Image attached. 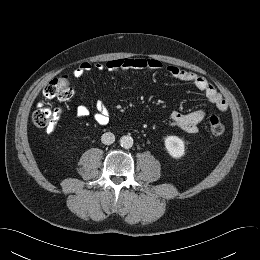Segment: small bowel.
<instances>
[{
  "label": "small bowel",
  "mask_w": 260,
  "mask_h": 260,
  "mask_svg": "<svg viewBox=\"0 0 260 260\" xmlns=\"http://www.w3.org/2000/svg\"><path fill=\"white\" fill-rule=\"evenodd\" d=\"M91 68L92 66L89 62H82L74 69L73 75L75 78H81L85 73L90 71ZM95 68L99 71L104 69L109 71H158L164 69L163 64L159 60L145 57L112 59L107 61L105 64H96ZM165 70L175 79L191 83L198 90L202 91L206 95L207 99L213 103L219 111L224 112L227 110L228 105L226 100L204 77L177 66H168ZM88 115L89 109L86 105H79L77 107V118L82 119ZM204 118L205 111L203 109H195L188 113L173 112L170 116L171 123L174 126L191 134L198 131V125ZM94 119L97 124L101 126H104L109 122V111L104 103H97V111L94 115Z\"/></svg>",
  "instance_id": "c3829d8e"
}]
</instances>
